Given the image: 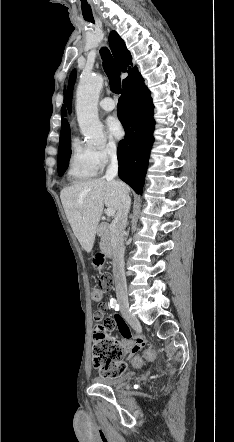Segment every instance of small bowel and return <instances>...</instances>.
Listing matches in <instances>:
<instances>
[{
	"label": "small bowel",
	"instance_id": "c3829d8e",
	"mask_svg": "<svg viewBox=\"0 0 234 442\" xmlns=\"http://www.w3.org/2000/svg\"><path fill=\"white\" fill-rule=\"evenodd\" d=\"M108 306L106 304H102L94 314L95 325L94 328L97 333L102 334L104 331H116L117 328H120L123 339L120 341V344L123 347V350H132L137 349L141 352L144 348L146 341L143 336L133 337L129 328L127 327V320L120 319L117 314H107L104 316L105 310H107ZM104 316V317H103Z\"/></svg>",
	"mask_w": 234,
	"mask_h": 442
}]
</instances>
